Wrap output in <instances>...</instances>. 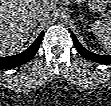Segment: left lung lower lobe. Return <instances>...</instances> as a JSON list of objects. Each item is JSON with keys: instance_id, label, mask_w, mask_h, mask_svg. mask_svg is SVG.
I'll return each instance as SVG.
<instances>
[{"instance_id": "obj_1", "label": "left lung lower lobe", "mask_w": 111, "mask_h": 106, "mask_svg": "<svg viewBox=\"0 0 111 106\" xmlns=\"http://www.w3.org/2000/svg\"><path fill=\"white\" fill-rule=\"evenodd\" d=\"M71 35H72V39L74 41L76 49L83 57H85L86 59H89L91 61L97 62V63L111 64V55H99V54L92 53V52L86 50L79 43V41L77 40V38L75 37V35L73 33H71Z\"/></svg>"}]
</instances>
